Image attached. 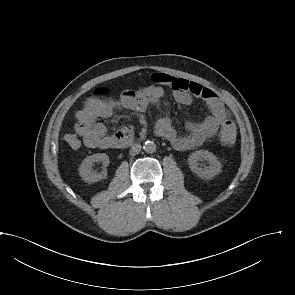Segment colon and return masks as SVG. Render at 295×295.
Wrapping results in <instances>:
<instances>
[{
  "label": "colon",
  "instance_id": "5ec220e1",
  "mask_svg": "<svg viewBox=\"0 0 295 295\" xmlns=\"http://www.w3.org/2000/svg\"><path fill=\"white\" fill-rule=\"evenodd\" d=\"M110 92L108 89L99 88L95 91V95L101 98L109 97ZM220 140L225 146H231L236 140V127L233 122H225L220 130ZM66 142L73 144L75 142V136L72 132L66 134Z\"/></svg>",
  "mask_w": 295,
  "mask_h": 295
}]
</instances>
